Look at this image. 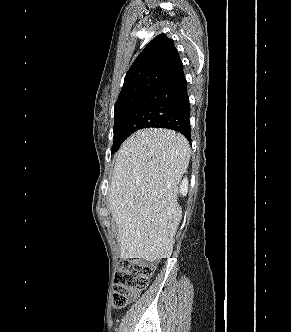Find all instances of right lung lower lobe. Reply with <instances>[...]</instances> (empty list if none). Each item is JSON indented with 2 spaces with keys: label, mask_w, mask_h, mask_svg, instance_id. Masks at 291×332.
<instances>
[{
  "label": "right lung lower lobe",
  "mask_w": 291,
  "mask_h": 332,
  "mask_svg": "<svg viewBox=\"0 0 291 332\" xmlns=\"http://www.w3.org/2000/svg\"><path fill=\"white\" fill-rule=\"evenodd\" d=\"M190 103L187 82L181 72L149 92L136 106L127 121L124 133L149 127L167 128L180 132L190 142Z\"/></svg>",
  "instance_id": "1"
}]
</instances>
